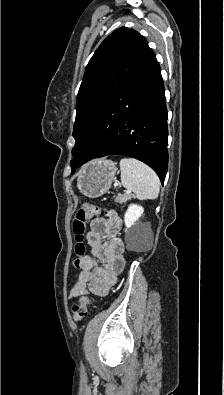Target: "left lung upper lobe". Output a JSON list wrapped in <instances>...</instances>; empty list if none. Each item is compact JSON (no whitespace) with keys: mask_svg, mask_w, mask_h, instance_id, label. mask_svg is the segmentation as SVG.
Returning <instances> with one entry per match:
<instances>
[{"mask_svg":"<svg viewBox=\"0 0 224 395\" xmlns=\"http://www.w3.org/2000/svg\"><path fill=\"white\" fill-rule=\"evenodd\" d=\"M152 54L146 39L126 27L116 29L95 51L77 96L72 172L88 152L104 110Z\"/></svg>","mask_w":224,"mask_h":395,"instance_id":"obj_1","label":"left lung upper lobe"}]
</instances>
